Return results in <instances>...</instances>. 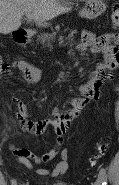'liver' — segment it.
Returning a JSON list of instances; mask_svg holds the SVG:
<instances>
[{
  "label": "liver",
  "mask_w": 119,
  "mask_h": 185,
  "mask_svg": "<svg viewBox=\"0 0 119 185\" xmlns=\"http://www.w3.org/2000/svg\"><path fill=\"white\" fill-rule=\"evenodd\" d=\"M69 10V7L60 5L58 0H0V33L18 30L24 13L29 14V21L41 26Z\"/></svg>",
  "instance_id": "6515ba94"
}]
</instances>
